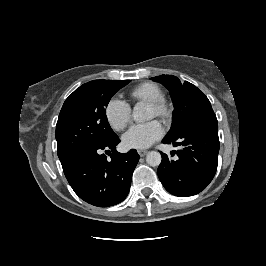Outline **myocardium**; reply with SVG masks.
<instances>
[{
    "label": "myocardium",
    "mask_w": 266,
    "mask_h": 266,
    "mask_svg": "<svg viewBox=\"0 0 266 266\" xmlns=\"http://www.w3.org/2000/svg\"><path fill=\"white\" fill-rule=\"evenodd\" d=\"M149 106L156 111V116L164 121L169 120L172 116V105L165 98L149 102Z\"/></svg>",
    "instance_id": "f54148a6"
}]
</instances>
